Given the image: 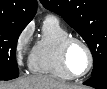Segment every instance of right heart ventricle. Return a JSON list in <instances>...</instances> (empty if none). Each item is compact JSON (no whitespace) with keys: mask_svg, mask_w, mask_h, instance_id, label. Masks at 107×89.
Masks as SVG:
<instances>
[{"mask_svg":"<svg viewBox=\"0 0 107 89\" xmlns=\"http://www.w3.org/2000/svg\"><path fill=\"white\" fill-rule=\"evenodd\" d=\"M70 35L68 29L57 17L46 16L42 23L41 34L30 54L31 71L58 79H70L71 77L65 72L60 59L61 43Z\"/></svg>","mask_w":107,"mask_h":89,"instance_id":"e07e8e85","label":"right heart ventricle"}]
</instances>
